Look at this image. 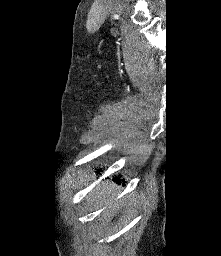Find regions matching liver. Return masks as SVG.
Returning a JSON list of instances; mask_svg holds the SVG:
<instances>
[{"mask_svg":"<svg viewBox=\"0 0 221 256\" xmlns=\"http://www.w3.org/2000/svg\"><path fill=\"white\" fill-rule=\"evenodd\" d=\"M116 184L111 182H102L94 190L92 198L100 205L113 200L116 192Z\"/></svg>","mask_w":221,"mask_h":256,"instance_id":"liver-1","label":"liver"}]
</instances>
